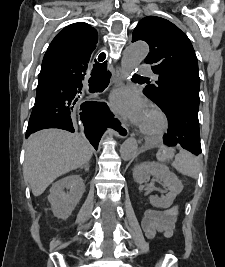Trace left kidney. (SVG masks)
<instances>
[{
  "label": "left kidney",
  "instance_id": "obj_1",
  "mask_svg": "<svg viewBox=\"0 0 225 267\" xmlns=\"http://www.w3.org/2000/svg\"><path fill=\"white\" fill-rule=\"evenodd\" d=\"M150 176L160 180L163 186L168 190V193L165 196H150V203L157 208H169L173 204L176 196L183 189L181 181L167 166L156 162L141 163L133 170V178L135 182L139 184L144 183Z\"/></svg>",
  "mask_w": 225,
  "mask_h": 267
}]
</instances>
